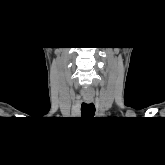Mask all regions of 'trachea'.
<instances>
[{
	"label": "trachea",
	"mask_w": 165,
	"mask_h": 165,
	"mask_svg": "<svg viewBox=\"0 0 165 165\" xmlns=\"http://www.w3.org/2000/svg\"><path fill=\"white\" fill-rule=\"evenodd\" d=\"M81 114L83 117H93L95 114V106L93 103H82Z\"/></svg>",
	"instance_id": "trachea-1"
}]
</instances>
